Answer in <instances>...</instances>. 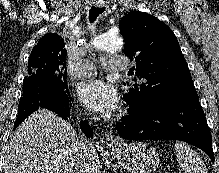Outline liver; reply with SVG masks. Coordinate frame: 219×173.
I'll return each mask as SVG.
<instances>
[{"instance_id":"1","label":"liver","mask_w":219,"mask_h":173,"mask_svg":"<svg viewBox=\"0 0 219 173\" xmlns=\"http://www.w3.org/2000/svg\"><path fill=\"white\" fill-rule=\"evenodd\" d=\"M80 147L79 136L68 122L40 108L11 136L2 173H73ZM90 169L98 173V153Z\"/></svg>"}]
</instances>
